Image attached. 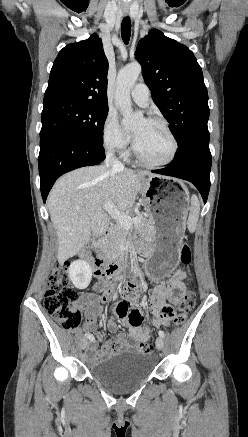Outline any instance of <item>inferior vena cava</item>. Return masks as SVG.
Returning <instances> with one entry per match:
<instances>
[{
    "mask_svg": "<svg viewBox=\"0 0 248 437\" xmlns=\"http://www.w3.org/2000/svg\"><path fill=\"white\" fill-rule=\"evenodd\" d=\"M105 166L117 171L124 170V165L115 158L114 151L111 147L108 148V151L106 152Z\"/></svg>",
    "mask_w": 248,
    "mask_h": 437,
    "instance_id": "602c4592",
    "label": "inferior vena cava"
}]
</instances>
